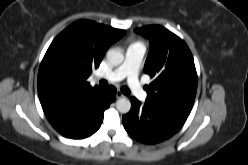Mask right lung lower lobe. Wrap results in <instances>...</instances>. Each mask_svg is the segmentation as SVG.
Returning <instances> with one entry per match:
<instances>
[{"instance_id":"right-lung-lower-lobe-1","label":"right lung lower lobe","mask_w":248,"mask_h":165,"mask_svg":"<svg viewBox=\"0 0 248 165\" xmlns=\"http://www.w3.org/2000/svg\"><path fill=\"white\" fill-rule=\"evenodd\" d=\"M116 88L109 86L103 89L99 97L76 113L50 122L63 136L72 139H83L91 136L101 126L104 111L115 100Z\"/></svg>"}]
</instances>
